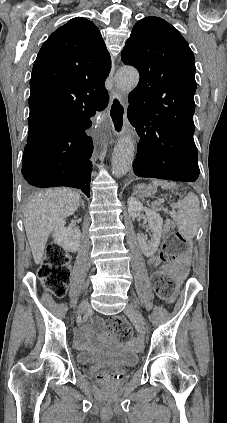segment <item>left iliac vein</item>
Returning a JSON list of instances; mask_svg holds the SVG:
<instances>
[{"instance_id":"4c4485c4","label":"left iliac vein","mask_w":227,"mask_h":423,"mask_svg":"<svg viewBox=\"0 0 227 423\" xmlns=\"http://www.w3.org/2000/svg\"><path fill=\"white\" fill-rule=\"evenodd\" d=\"M125 314L131 319H133L136 325L144 327V325L146 324V321L142 314L133 306L127 305L125 308Z\"/></svg>"}]
</instances>
